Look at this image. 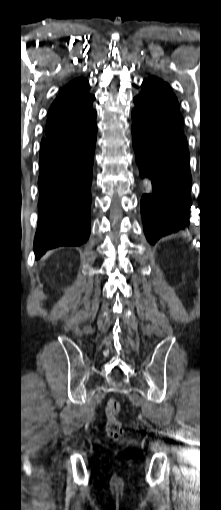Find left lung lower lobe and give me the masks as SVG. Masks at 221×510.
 Listing matches in <instances>:
<instances>
[{"instance_id":"obj_1","label":"left lung lower lobe","mask_w":221,"mask_h":510,"mask_svg":"<svg viewBox=\"0 0 221 510\" xmlns=\"http://www.w3.org/2000/svg\"><path fill=\"white\" fill-rule=\"evenodd\" d=\"M132 140L140 176L149 178L153 193L141 199L147 240L189 226L191 173L187 143L164 132L136 108L132 111Z\"/></svg>"}]
</instances>
